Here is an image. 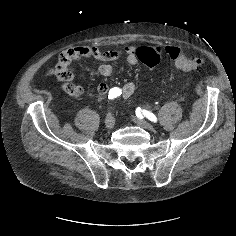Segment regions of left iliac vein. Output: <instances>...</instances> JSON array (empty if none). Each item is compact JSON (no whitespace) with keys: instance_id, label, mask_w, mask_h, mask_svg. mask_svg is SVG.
I'll return each instance as SVG.
<instances>
[{"instance_id":"left-iliac-vein-1","label":"left iliac vein","mask_w":236,"mask_h":236,"mask_svg":"<svg viewBox=\"0 0 236 236\" xmlns=\"http://www.w3.org/2000/svg\"><path fill=\"white\" fill-rule=\"evenodd\" d=\"M133 120L138 126L144 128L146 130H149V131H155L154 126L152 124H150L149 122H147L141 118H137V117H135Z\"/></svg>"}]
</instances>
